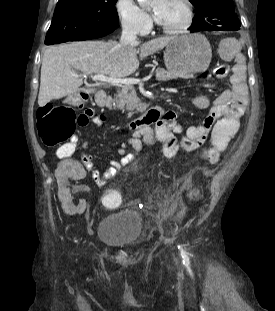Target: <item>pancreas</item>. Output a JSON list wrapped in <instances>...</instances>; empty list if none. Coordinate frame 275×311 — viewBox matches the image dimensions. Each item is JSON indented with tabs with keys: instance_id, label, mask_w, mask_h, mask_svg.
Wrapping results in <instances>:
<instances>
[{
	"instance_id": "cf45deb5",
	"label": "pancreas",
	"mask_w": 275,
	"mask_h": 311,
	"mask_svg": "<svg viewBox=\"0 0 275 311\" xmlns=\"http://www.w3.org/2000/svg\"><path fill=\"white\" fill-rule=\"evenodd\" d=\"M155 74L158 81H168L175 78L170 72L162 68H157ZM113 103L115 108L129 111L128 116H131L136 111H140L142 105L133 85H124L118 91Z\"/></svg>"
}]
</instances>
